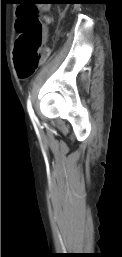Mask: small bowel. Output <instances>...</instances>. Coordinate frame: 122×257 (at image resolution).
<instances>
[{
    "instance_id": "1",
    "label": "small bowel",
    "mask_w": 122,
    "mask_h": 257,
    "mask_svg": "<svg viewBox=\"0 0 122 257\" xmlns=\"http://www.w3.org/2000/svg\"><path fill=\"white\" fill-rule=\"evenodd\" d=\"M44 20H45L46 23H51L52 18H51L50 15H45L44 16ZM48 55H49V49H44V51H43V59L46 58ZM21 78H24V77H21Z\"/></svg>"
}]
</instances>
